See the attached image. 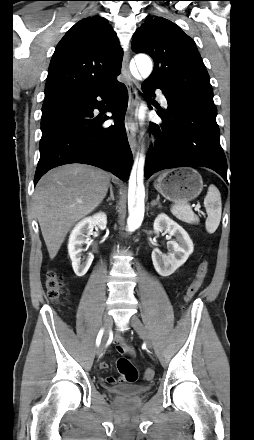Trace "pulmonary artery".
I'll use <instances>...</instances> for the list:
<instances>
[{"mask_svg": "<svg viewBox=\"0 0 254 440\" xmlns=\"http://www.w3.org/2000/svg\"><path fill=\"white\" fill-rule=\"evenodd\" d=\"M157 96L159 97L160 101L162 102L163 106L167 107L168 103H167V99L165 97V95L162 93L161 90H156Z\"/></svg>", "mask_w": 254, "mask_h": 440, "instance_id": "obj_1", "label": "pulmonary artery"}]
</instances>
